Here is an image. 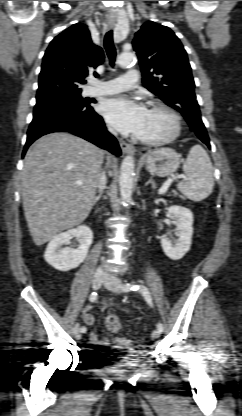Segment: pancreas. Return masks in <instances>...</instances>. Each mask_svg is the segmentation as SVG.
<instances>
[{
  "label": "pancreas",
  "mask_w": 242,
  "mask_h": 416,
  "mask_svg": "<svg viewBox=\"0 0 242 416\" xmlns=\"http://www.w3.org/2000/svg\"><path fill=\"white\" fill-rule=\"evenodd\" d=\"M178 194L176 192L173 193V196H177ZM181 198H183L182 196H180Z\"/></svg>",
  "instance_id": "obj_1"
}]
</instances>
